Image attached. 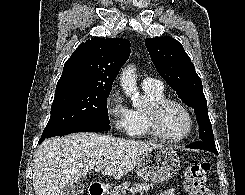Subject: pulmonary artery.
<instances>
[{
    "mask_svg": "<svg viewBox=\"0 0 245 195\" xmlns=\"http://www.w3.org/2000/svg\"><path fill=\"white\" fill-rule=\"evenodd\" d=\"M141 86L143 89H161L163 84L160 80L151 77H146L142 80Z\"/></svg>",
    "mask_w": 245,
    "mask_h": 195,
    "instance_id": "pulmonary-artery-1",
    "label": "pulmonary artery"
}]
</instances>
